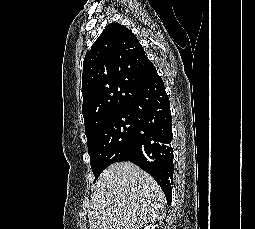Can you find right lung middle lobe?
<instances>
[{
  "label": "right lung middle lobe",
  "instance_id": "1",
  "mask_svg": "<svg viewBox=\"0 0 255 229\" xmlns=\"http://www.w3.org/2000/svg\"><path fill=\"white\" fill-rule=\"evenodd\" d=\"M135 127V119L128 112L121 111L87 138L90 165L95 178L109 165L128 160Z\"/></svg>",
  "mask_w": 255,
  "mask_h": 229
}]
</instances>
